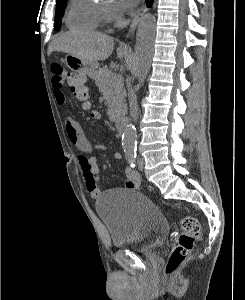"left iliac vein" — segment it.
Segmentation results:
<instances>
[{
  "mask_svg": "<svg viewBox=\"0 0 245 300\" xmlns=\"http://www.w3.org/2000/svg\"><path fill=\"white\" fill-rule=\"evenodd\" d=\"M137 164H138V168H139L140 170H142L143 167H144V159H143L142 157H139V158L137 159Z\"/></svg>",
  "mask_w": 245,
  "mask_h": 300,
  "instance_id": "obj_1",
  "label": "left iliac vein"
}]
</instances>
